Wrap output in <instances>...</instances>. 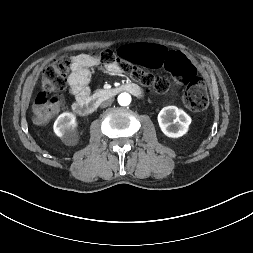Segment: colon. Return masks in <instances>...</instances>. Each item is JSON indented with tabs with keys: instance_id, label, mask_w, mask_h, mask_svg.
<instances>
[{
	"instance_id": "5ec220e1",
	"label": "colon",
	"mask_w": 253,
	"mask_h": 253,
	"mask_svg": "<svg viewBox=\"0 0 253 253\" xmlns=\"http://www.w3.org/2000/svg\"><path fill=\"white\" fill-rule=\"evenodd\" d=\"M104 65L116 64L121 71L156 93H166L171 88L168 78L155 75L133 64L157 73L162 71L185 85L184 105L193 112H200L208 106V95L204 81L197 76L188 58L176 48L169 49L156 40L142 43H124L117 51L110 49L93 52L90 55ZM133 63V64H132ZM72 59L62 56L48 65L42 73V92L35 99L33 111L38 124H46L59 111L61 93L67 86Z\"/></svg>"
}]
</instances>
